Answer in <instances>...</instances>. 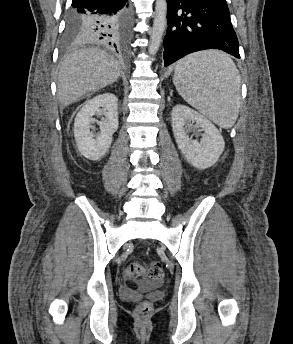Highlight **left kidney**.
Listing matches in <instances>:
<instances>
[{"instance_id":"1","label":"left kidney","mask_w":293,"mask_h":344,"mask_svg":"<svg viewBox=\"0 0 293 344\" xmlns=\"http://www.w3.org/2000/svg\"><path fill=\"white\" fill-rule=\"evenodd\" d=\"M171 115L174 138L186 160L201 170L213 166L225 148L219 130L210 120L186 105H176ZM194 122L204 131L200 142L192 140L187 134Z\"/></svg>"}]
</instances>
